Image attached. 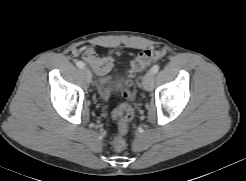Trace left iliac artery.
<instances>
[{
	"label": "left iliac artery",
	"instance_id": "44dca946",
	"mask_svg": "<svg viewBox=\"0 0 246 181\" xmlns=\"http://www.w3.org/2000/svg\"><path fill=\"white\" fill-rule=\"evenodd\" d=\"M159 65H154L153 67H152V69H151V71L154 73V74H156L158 71H159Z\"/></svg>",
	"mask_w": 246,
	"mask_h": 181
}]
</instances>
